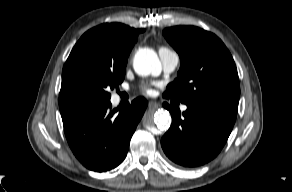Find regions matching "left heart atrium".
<instances>
[{"label": "left heart atrium", "instance_id": "obj_1", "mask_svg": "<svg viewBox=\"0 0 292 192\" xmlns=\"http://www.w3.org/2000/svg\"><path fill=\"white\" fill-rule=\"evenodd\" d=\"M144 91H145L147 94H151V93H152V90H151L149 87H145V88H144Z\"/></svg>", "mask_w": 292, "mask_h": 192}]
</instances>
